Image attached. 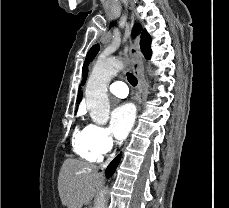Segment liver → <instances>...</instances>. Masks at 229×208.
<instances>
[{
	"label": "liver",
	"mask_w": 229,
	"mask_h": 208,
	"mask_svg": "<svg viewBox=\"0 0 229 208\" xmlns=\"http://www.w3.org/2000/svg\"><path fill=\"white\" fill-rule=\"evenodd\" d=\"M104 176L97 166L80 160H65L59 174L58 192L66 208L89 204L103 184Z\"/></svg>",
	"instance_id": "1"
}]
</instances>
